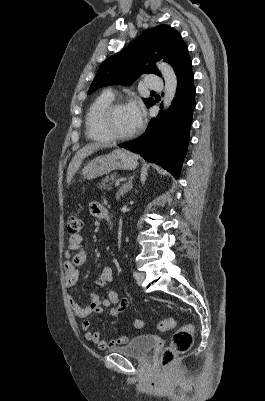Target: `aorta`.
<instances>
[{"label": "aorta", "instance_id": "762f6f07", "mask_svg": "<svg viewBox=\"0 0 265 401\" xmlns=\"http://www.w3.org/2000/svg\"><path fill=\"white\" fill-rule=\"evenodd\" d=\"M159 70L162 72V76L165 80V94H164V106H169L172 98L175 96L177 88V76L170 64L167 62H157Z\"/></svg>", "mask_w": 265, "mask_h": 401}]
</instances>
